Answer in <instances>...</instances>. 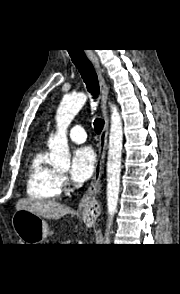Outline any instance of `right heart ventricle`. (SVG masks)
I'll use <instances>...</instances> for the list:
<instances>
[{"label":"right heart ventricle","mask_w":180,"mask_h":294,"mask_svg":"<svg viewBox=\"0 0 180 294\" xmlns=\"http://www.w3.org/2000/svg\"><path fill=\"white\" fill-rule=\"evenodd\" d=\"M58 173L46 161V153L38 151L31 159L26 190L29 196L40 200H52L60 194Z\"/></svg>","instance_id":"right-heart-ventricle-1"}]
</instances>
